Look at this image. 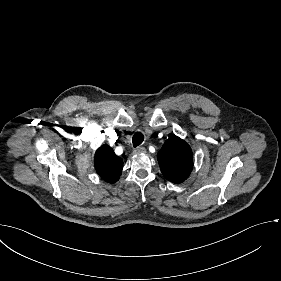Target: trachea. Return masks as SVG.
Returning <instances> with one entry per match:
<instances>
[{
    "instance_id": "3493384b",
    "label": "trachea",
    "mask_w": 281,
    "mask_h": 281,
    "mask_svg": "<svg viewBox=\"0 0 281 281\" xmlns=\"http://www.w3.org/2000/svg\"><path fill=\"white\" fill-rule=\"evenodd\" d=\"M144 141V135L141 132H136L132 137L133 147L136 148Z\"/></svg>"
}]
</instances>
